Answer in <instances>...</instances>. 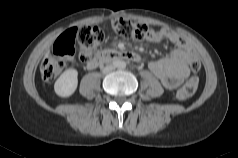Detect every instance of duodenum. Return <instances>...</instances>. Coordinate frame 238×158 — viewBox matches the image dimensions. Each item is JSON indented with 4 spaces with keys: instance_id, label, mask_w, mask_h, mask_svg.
I'll use <instances>...</instances> for the list:
<instances>
[{
    "instance_id": "1",
    "label": "duodenum",
    "mask_w": 238,
    "mask_h": 158,
    "mask_svg": "<svg viewBox=\"0 0 238 158\" xmlns=\"http://www.w3.org/2000/svg\"><path fill=\"white\" fill-rule=\"evenodd\" d=\"M140 56L137 53L127 51L106 50L97 53L87 64L89 69H95L101 64L117 61H133L138 62Z\"/></svg>"
}]
</instances>
